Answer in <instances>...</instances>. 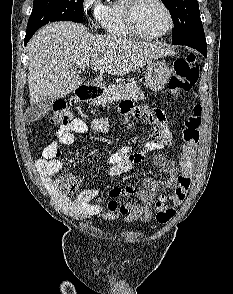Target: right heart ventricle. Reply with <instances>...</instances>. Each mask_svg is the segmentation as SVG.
<instances>
[{"mask_svg": "<svg viewBox=\"0 0 233 294\" xmlns=\"http://www.w3.org/2000/svg\"><path fill=\"white\" fill-rule=\"evenodd\" d=\"M127 0H116L105 5L99 25L108 35L119 38L137 37L128 27L125 6Z\"/></svg>", "mask_w": 233, "mask_h": 294, "instance_id": "right-heart-ventricle-1", "label": "right heart ventricle"}]
</instances>
